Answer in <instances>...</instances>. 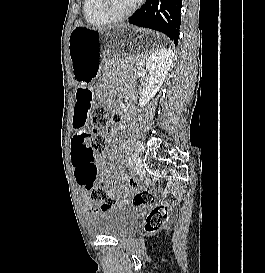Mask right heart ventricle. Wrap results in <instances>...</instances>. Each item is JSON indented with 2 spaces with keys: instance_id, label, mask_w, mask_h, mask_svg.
Segmentation results:
<instances>
[{
  "instance_id": "right-heart-ventricle-1",
  "label": "right heart ventricle",
  "mask_w": 265,
  "mask_h": 273,
  "mask_svg": "<svg viewBox=\"0 0 265 273\" xmlns=\"http://www.w3.org/2000/svg\"><path fill=\"white\" fill-rule=\"evenodd\" d=\"M83 14L85 21L90 26L101 27L109 24V22L104 20L99 14L97 10V0H84Z\"/></svg>"
}]
</instances>
